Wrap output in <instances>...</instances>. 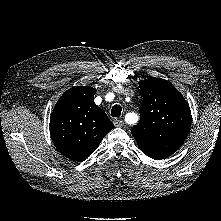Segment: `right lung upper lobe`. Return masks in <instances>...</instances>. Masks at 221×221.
Wrapping results in <instances>:
<instances>
[{"label":"right lung upper lobe","mask_w":221,"mask_h":221,"mask_svg":"<svg viewBox=\"0 0 221 221\" xmlns=\"http://www.w3.org/2000/svg\"><path fill=\"white\" fill-rule=\"evenodd\" d=\"M95 88L73 87L58 100L50 118V135L65 157L82 161L114 128L106 113L94 103Z\"/></svg>","instance_id":"1"}]
</instances>
